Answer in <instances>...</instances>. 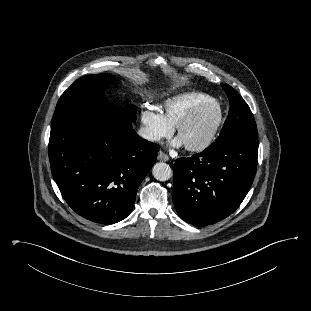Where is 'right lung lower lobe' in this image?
I'll return each instance as SVG.
<instances>
[{"label":"right lung lower lobe","instance_id":"obj_1","mask_svg":"<svg viewBox=\"0 0 311 311\" xmlns=\"http://www.w3.org/2000/svg\"><path fill=\"white\" fill-rule=\"evenodd\" d=\"M158 147L119 115L78 118L52 127L49 160L67 204L80 216L113 224L132 211Z\"/></svg>","mask_w":311,"mask_h":311}]
</instances>
